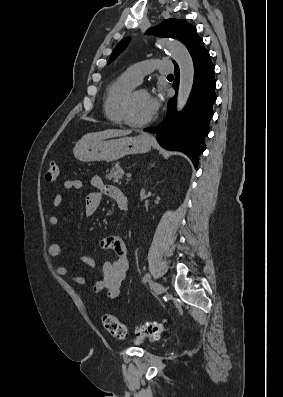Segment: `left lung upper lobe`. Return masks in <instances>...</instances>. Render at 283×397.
<instances>
[{
	"label": "left lung upper lobe",
	"instance_id": "obj_1",
	"mask_svg": "<svg viewBox=\"0 0 283 397\" xmlns=\"http://www.w3.org/2000/svg\"><path fill=\"white\" fill-rule=\"evenodd\" d=\"M148 33L160 37L175 38L183 42L189 52L200 44H203L202 38L197 35L196 27L187 23L186 20H177L173 18L164 20L159 26L149 29ZM126 45L127 41L125 39L118 43L110 56L108 64L118 56ZM174 64L176 63L174 62Z\"/></svg>",
	"mask_w": 283,
	"mask_h": 397
}]
</instances>
